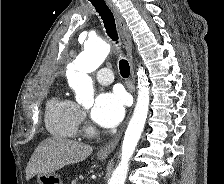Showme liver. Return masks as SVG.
<instances>
[{"label": "liver", "instance_id": "6515ba94", "mask_svg": "<svg viewBox=\"0 0 224 184\" xmlns=\"http://www.w3.org/2000/svg\"><path fill=\"white\" fill-rule=\"evenodd\" d=\"M93 148L89 145L61 138L49 137L43 140L35 149L27 164L26 180L39 173L52 174L66 165L85 160Z\"/></svg>", "mask_w": 224, "mask_h": 184}]
</instances>
